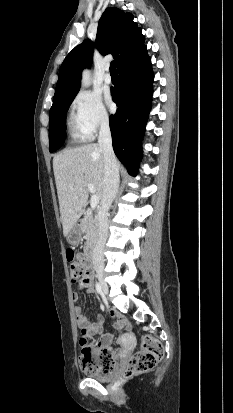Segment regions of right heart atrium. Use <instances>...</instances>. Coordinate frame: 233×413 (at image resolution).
<instances>
[{
    "label": "right heart atrium",
    "instance_id": "obj_1",
    "mask_svg": "<svg viewBox=\"0 0 233 413\" xmlns=\"http://www.w3.org/2000/svg\"><path fill=\"white\" fill-rule=\"evenodd\" d=\"M73 106L79 123L89 138L109 125V114L98 94L82 90L74 97Z\"/></svg>",
    "mask_w": 233,
    "mask_h": 413
}]
</instances>
